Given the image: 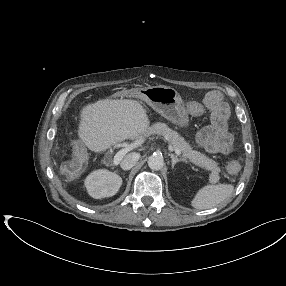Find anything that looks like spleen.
I'll list each match as a JSON object with an SVG mask.
<instances>
[{
	"label": "spleen",
	"instance_id": "obj_1",
	"mask_svg": "<svg viewBox=\"0 0 286 286\" xmlns=\"http://www.w3.org/2000/svg\"><path fill=\"white\" fill-rule=\"evenodd\" d=\"M233 191L232 184L206 185L197 192L191 205L199 210L210 209L225 201Z\"/></svg>",
	"mask_w": 286,
	"mask_h": 286
}]
</instances>
